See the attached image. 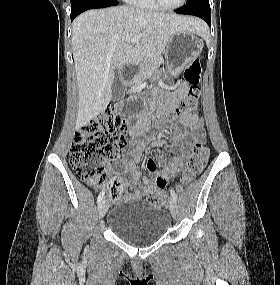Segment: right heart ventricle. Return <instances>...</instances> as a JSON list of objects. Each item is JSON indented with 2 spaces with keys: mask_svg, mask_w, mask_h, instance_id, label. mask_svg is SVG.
Segmentation results:
<instances>
[{
  "mask_svg": "<svg viewBox=\"0 0 280 285\" xmlns=\"http://www.w3.org/2000/svg\"><path fill=\"white\" fill-rule=\"evenodd\" d=\"M135 7L146 10H159V7L153 2V0H127Z\"/></svg>",
  "mask_w": 280,
  "mask_h": 285,
  "instance_id": "obj_1",
  "label": "right heart ventricle"
}]
</instances>
